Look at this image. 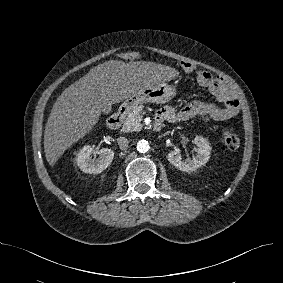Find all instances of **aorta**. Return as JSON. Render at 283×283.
<instances>
[{"label": "aorta", "instance_id": "obj_1", "mask_svg": "<svg viewBox=\"0 0 283 283\" xmlns=\"http://www.w3.org/2000/svg\"><path fill=\"white\" fill-rule=\"evenodd\" d=\"M149 149H150V146L147 140L142 139L137 142V150L140 153H146L149 151Z\"/></svg>", "mask_w": 283, "mask_h": 283}]
</instances>
